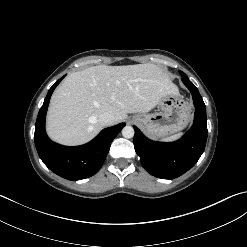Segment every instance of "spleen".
I'll use <instances>...</instances> for the list:
<instances>
[{"label": "spleen", "mask_w": 247, "mask_h": 247, "mask_svg": "<svg viewBox=\"0 0 247 247\" xmlns=\"http://www.w3.org/2000/svg\"><path fill=\"white\" fill-rule=\"evenodd\" d=\"M181 136H182V133L175 134L173 136H170V137H167V138L163 139L162 141L172 142V141H175V140L179 139Z\"/></svg>", "instance_id": "3e777b00"}]
</instances>
